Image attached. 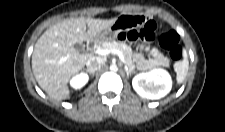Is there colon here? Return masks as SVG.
Returning a JSON list of instances; mask_svg holds the SVG:
<instances>
[{"mask_svg":"<svg viewBox=\"0 0 225 132\" xmlns=\"http://www.w3.org/2000/svg\"><path fill=\"white\" fill-rule=\"evenodd\" d=\"M156 24L154 21H146L137 26H133L120 33L119 37L123 40H153L155 38ZM160 45L167 50L170 57L179 60L182 55L181 43L175 31H168L159 37Z\"/></svg>","mask_w":225,"mask_h":132,"instance_id":"colon-1","label":"colon"}]
</instances>
